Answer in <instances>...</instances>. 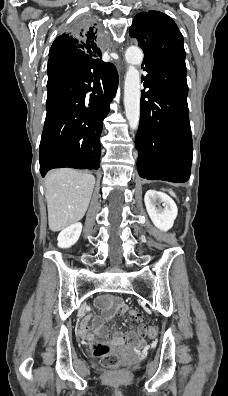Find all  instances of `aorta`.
I'll list each match as a JSON object with an SVG mask.
<instances>
[{"instance_id": "1", "label": "aorta", "mask_w": 228, "mask_h": 396, "mask_svg": "<svg viewBox=\"0 0 228 396\" xmlns=\"http://www.w3.org/2000/svg\"><path fill=\"white\" fill-rule=\"evenodd\" d=\"M143 52L136 46L127 48L125 59L128 63L124 84L125 115L131 129L136 130L140 119V73L137 69L143 61Z\"/></svg>"}]
</instances>
